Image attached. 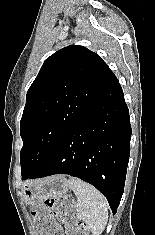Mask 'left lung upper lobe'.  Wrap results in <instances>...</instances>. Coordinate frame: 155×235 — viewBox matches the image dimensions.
Masks as SVG:
<instances>
[{"label":"left lung upper lobe","instance_id":"1","mask_svg":"<svg viewBox=\"0 0 155 235\" xmlns=\"http://www.w3.org/2000/svg\"><path fill=\"white\" fill-rule=\"evenodd\" d=\"M114 76L101 57L83 46H67L44 61L21 118L22 179L45 165Z\"/></svg>","mask_w":155,"mask_h":235}]
</instances>
